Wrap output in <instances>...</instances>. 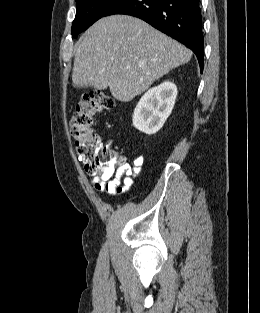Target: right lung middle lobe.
Instances as JSON below:
<instances>
[{"label":"right lung middle lobe","instance_id":"1","mask_svg":"<svg viewBox=\"0 0 260 313\" xmlns=\"http://www.w3.org/2000/svg\"><path fill=\"white\" fill-rule=\"evenodd\" d=\"M118 0H76V16L72 23L71 33L77 37L80 32L89 28Z\"/></svg>","mask_w":260,"mask_h":313}]
</instances>
